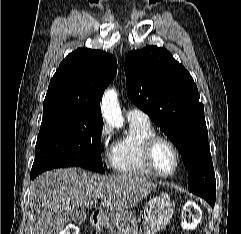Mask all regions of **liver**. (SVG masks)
<instances>
[{
    "label": "liver",
    "instance_id": "liver-1",
    "mask_svg": "<svg viewBox=\"0 0 241 234\" xmlns=\"http://www.w3.org/2000/svg\"><path fill=\"white\" fill-rule=\"evenodd\" d=\"M157 184L132 174L99 175L80 168L45 172L31 184L35 210L34 234H61L76 211L89 209L102 200L108 217L135 206Z\"/></svg>",
    "mask_w": 241,
    "mask_h": 234
}]
</instances>
